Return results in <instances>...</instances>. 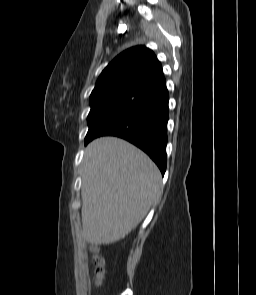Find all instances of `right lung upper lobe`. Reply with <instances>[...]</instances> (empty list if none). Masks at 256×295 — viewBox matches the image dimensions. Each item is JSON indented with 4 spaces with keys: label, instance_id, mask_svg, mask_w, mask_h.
<instances>
[{
    "label": "right lung upper lobe",
    "instance_id": "right-lung-upper-lobe-1",
    "mask_svg": "<svg viewBox=\"0 0 256 295\" xmlns=\"http://www.w3.org/2000/svg\"><path fill=\"white\" fill-rule=\"evenodd\" d=\"M162 77L161 63L152 50L132 47L102 71L90 95V105L118 97H136Z\"/></svg>",
    "mask_w": 256,
    "mask_h": 295
}]
</instances>
